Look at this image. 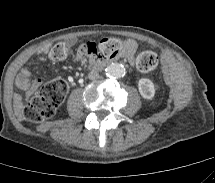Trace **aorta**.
<instances>
[{"label": "aorta", "instance_id": "1", "mask_svg": "<svg viewBox=\"0 0 215 183\" xmlns=\"http://www.w3.org/2000/svg\"><path fill=\"white\" fill-rule=\"evenodd\" d=\"M106 75L114 78H121L125 75L126 70L122 64L112 63L105 69Z\"/></svg>", "mask_w": 215, "mask_h": 183}]
</instances>
